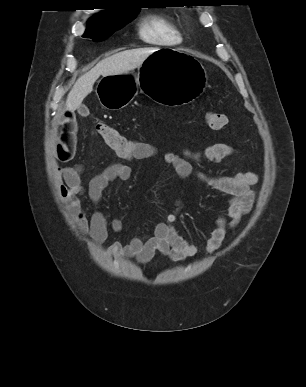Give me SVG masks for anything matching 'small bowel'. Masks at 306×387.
I'll return each instance as SVG.
<instances>
[{
	"mask_svg": "<svg viewBox=\"0 0 306 387\" xmlns=\"http://www.w3.org/2000/svg\"><path fill=\"white\" fill-rule=\"evenodd\" d=\"M59 133L53 141V153L61 162L72 160L77 144V122L75 114L66 113L57 121ZM237 154L232 146L218 143L206 147L201 152L183 150L180 153L167 151L159 153L158 148L144 141H137L133 153L127 160L142 161L159 158L163 164L171 165L181 179L196 177L211 188L227 196V208L217 216L215 228L206 241L205 250L212 253L222 245L228 229L238 225L241 218L247 214L254 202V193L251 187L257 182L253 172H239L228 176H209L195 172L194 164L203 160L220 161ZM60 184L59 192L64 201L66 210L78 228L88 235L97 244H103L108 237L111 227L116 232L124 229L119 219L110 223L106 216L95 210L87 216L83 198L97 206L104 191L113 181L125 182L131 178L132 169L124 163H113L93 176L85 186L82 180V170L79 166L59 167L57 169ZM182 202L176 201V209L165 220L158 222L149 234L132 238L128 243L114 242L107 249V254L114 258H133L141 264L150 262L156 253L181 261L196 255L197 248L183 238L176 230V222Z\"/></svg>",
	"mask_w": 306,
	"mask_h": 387,
	"instance_id": "small-bowel-1",
	"label": "small bowel"
}]
</instances>
